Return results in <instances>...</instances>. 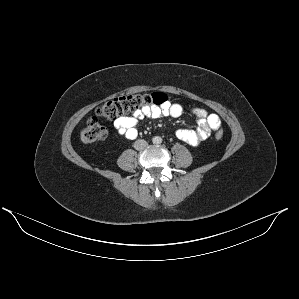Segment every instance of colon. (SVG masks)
<instances>
[{"label":"colon","instance_id":"1","mask_svg":"<svg viewBox=\"0 0 299 299\" xmlns=\"http://www.w3.org/2000/svg\"><path fill=\"white\" fill-rule=\"evenodd\" d=\"M166 100V95L160 92L117 97L102 103L97 108L96 114L103 119L111 120L143 108L160 107L166 103ZM106 135V128L98 121L97 117H92L88 119L82 129L80 138L84 143H94L103 140ZM215 137L219 140L222 139L223 132L217 130Z\"/></svg>","mask_w":299,"mask_h":299}]
</instances>
